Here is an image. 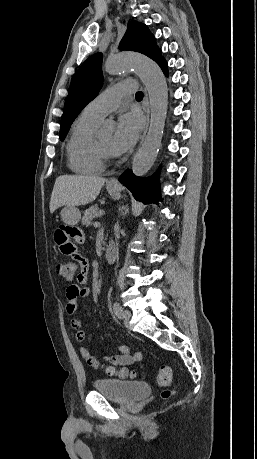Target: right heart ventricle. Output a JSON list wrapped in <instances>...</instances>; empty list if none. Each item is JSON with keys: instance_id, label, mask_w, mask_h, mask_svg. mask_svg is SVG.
<instances>
[{"instance_id": "right-heart-ventricle-1", "label": "right heart ventricle", "mask_w": 257, "mask_h": 459, "mask_svg": "<svg viewBox=\"0 0 257 459\" xmlns=\"http://www.w3.org/2000/svg\"><path fill=\"white\" fill-rule=\"evenodd\" d=\"M100 120L82 113L75 121L66 146L69 168L81 175L99 174L104 162L96 148L94 130Z\"/></svg>"}]
</instances>
